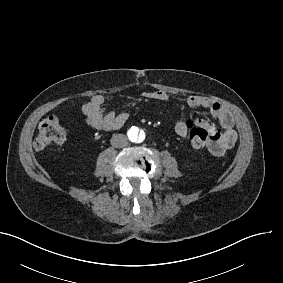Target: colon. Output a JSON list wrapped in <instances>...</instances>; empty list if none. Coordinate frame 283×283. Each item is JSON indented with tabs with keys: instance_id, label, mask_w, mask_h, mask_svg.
<instances>
[{
	"instance_id": "obj_1",
	"label": "colon",
	"mask_w": 283,
	"mask_h": 283,
	"mask_svg": "<svg viewBox=\"0 0 283 283\" xmlns=\"http://www.w3.org/2000/svg\"><path fill=\"white\" fill-rule=\"evenodd\" d=\"M185 126L190 127L193 124L192 119L187 118L184 121ZM213 131L203 127H194L190 130L189 136L192 140V147L199 149L203 144L209 142ZM67 138V132L61 120L57 116H49L41 121L34 140L36 148H46L53 144L62 143Z\"/></svg>"
}]
</instances>
